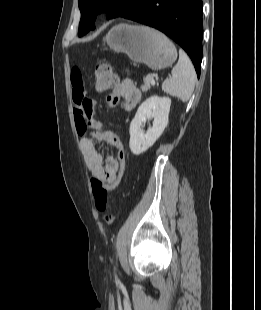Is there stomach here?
I'll return each instance as SVG.
<instances>
[{
    "label": "stomach",
    "instance_id": "obj_1",
    "mask_svg": "<svg viewBox=\"0 0 261 310\" xmlns=\"http://www.w3.org/2000/svg\"><path fill=\"white\" fill-rule=\"evenodd\" d=\"M114 52L125 53L137 63L152 70L171 66L177 59V50L159 31L146 26L118 24L105 37Z\"/></svg>",
    "mask_w": 261,
    "mask_h": 310
}]
</instances>
